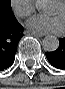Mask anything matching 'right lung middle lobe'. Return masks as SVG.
I'll return each mask as SVG.
<instances>
[{"label": "right lung middle lobe", "instance_id": "right-lung-middle-lobe-1", "mask_svg": "<svg viewBox=\"0 0 65 89\" xmlns=\"http://www.w3.org/2000/svg\"><path fill=\"white\" fill-rule=\"evenodd\" d=\"M0 14L8 17L14 16L11 8V0H0Z\"/></svg>", "mask_w": 65, "mask_h": 89}]
</instances>
